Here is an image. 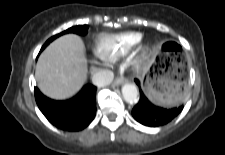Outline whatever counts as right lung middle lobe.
<instances>
[{"label":"right lung middle lobe","instance_id":"1","mask_svg":"<svg viewBox=\"0 0 225 155\" xmlns=\"http://www.w3.org/2000/svg\"><path fill=\"white\" fill-rule=\"evenodd\" d=\"M87 30H88V26L87 25H80V26H74V27H71L69 29H67L66 31H63L62 33L60 34H57L53 37H51L44 45L43 47L41 48V51L51 42L53 41L55 38L59 37L60 35H63L65 33H77V34H80V35H85L87 33Z\"/></svg>","mask_w":225,"mask_h":155}]
</instances>
